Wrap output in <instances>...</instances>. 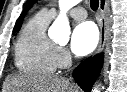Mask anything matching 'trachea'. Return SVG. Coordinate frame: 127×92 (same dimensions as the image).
Returning <instances> with one entry per match:
<instances>
[{"mask_svg": "<svg viewBox=\"0 0 127 92\" xmlns=\"http://www.w3.org/2000/svg\"><path fill=\"white\" fill-rule=\"evenodd\" d=\"M99 6V1L98 0H91L90 1V7L93 11H96Z\"/></svg>", "mask_w": 127, "mask_h": 92, "instance_id": "3493384b", "label": "trachea"}]
</instances>
